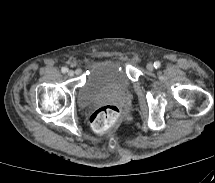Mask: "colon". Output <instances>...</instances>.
<instances>
[{"label":"colon","instance_id":"colon-1","mask_svg":"<svg viewBox=\"0 0 215 183\" xmlns=\"http://www.w3.org/2000/svg\"><path fill=\"white\" fill-rule=\"evenodd\" d=\"M119 116L120 110L116 105L102 106L91 115V127L96 133H104L119 119Z\"/></svg>","mask_w":215,"mask_h":183}]
</instances>
